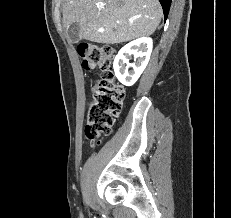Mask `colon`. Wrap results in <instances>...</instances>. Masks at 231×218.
<instances>
[{
  "label": "colon",
  "instance_id": "obj_1",
  "mask_svg": "<svg viewBox=\"0 0 231 218\" xmlns=\"http://www.w3.org/2000/svg\"><path fill=\"white\" fill-rule=\"evenodd\" d=\"M77 52L85 70H102L100 80L92 89L86 110L85 135L88 140L97 142L110 134L115 119L121 112L125 91L114 77L112 47L83 43L78 46Z\"/></svg>",
  "mask_w": 231,
  "mask_h": 218
}]
</instances>
